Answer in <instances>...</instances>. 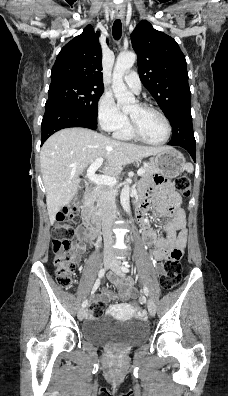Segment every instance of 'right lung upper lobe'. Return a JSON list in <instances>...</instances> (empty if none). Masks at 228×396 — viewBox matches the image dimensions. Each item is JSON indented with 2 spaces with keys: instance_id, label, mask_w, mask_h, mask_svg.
Listing matches in <instances>:
<instances>
[{
  "instance_id": "cb5924a9",
  "label": "right lung upper lobe",
  "mask_w": 228,
  "mask_h": 396,
  "mask_svg": "<svg viewBox=\"0 0 228 396\" xmlns=\"http://www.w3.org/2000/svg\"><path fill=\"white\" fill-rule=\"evenodd\" d=\"M101 60L99 33L88 25L61 49L51 71L50 86L61 83L103 86Z\"/></svg>"
}]
</instances>
